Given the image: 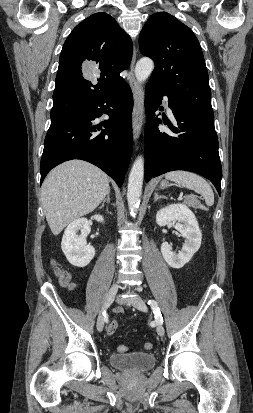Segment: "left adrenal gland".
<instances>
[{
	"instance_id": "1",
	"label": "left adrenal gland",
	"mask_w": 253,
	"mask_h": 413,
	"mask_svg": "<svg viewBox=\"0 0 253 413\" xmlns=\"http://www.w3.org/2000/svg\"><path fill=\"white\" fill-rule=\"evenodd\" d=\"M160 198H167L166 196H164V195H158V193L157 192H155L154 193V202H156L158 199H160Z\"/></svg>"
}]
</instances>
